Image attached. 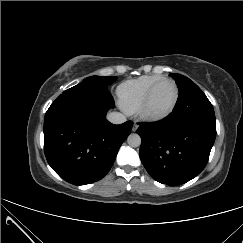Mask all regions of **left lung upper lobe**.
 Returning <instances> with one entry per match:
<instances>
[{
  "label": "left lung upper lobe",
  "mask_w": 243,
  "mask_h": 243,
  "mask_svg": "<svg viewBox=\"0 0 243 243\" xmlns=\"http://www.w3.org/2000/svg\"><path fill=\"white\" fill-rule=\"evenodd\" d=\"M179 90L175 108L181 116L193 120H215L214 109L206 95L189 78L172 73Z\"/></svg>",
  "instance_id": "1"
}]
</instances>
